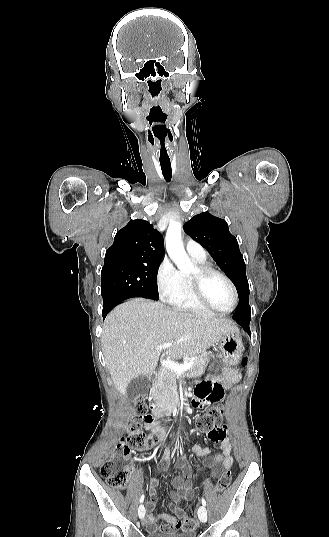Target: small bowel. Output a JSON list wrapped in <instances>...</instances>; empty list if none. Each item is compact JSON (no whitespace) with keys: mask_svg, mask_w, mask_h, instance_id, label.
Here are the masks:
<instances>
[{"mask_svg":"<svg viewBox=\"0 0 329 537\" xmlns=\"http://www.w3.org/2000/svg\"><path fill=\"white\" fill-rule=\"evenodd\" d=\"M238 371L232 370L230 372V383H235L239 380ZM225 384L220 381H216L214 377H205L203 381H196L194 388L192 389L191 402L193 405H189V408H193L195 411L201 412L207 408V406L213 405L216 406L219 404L220 400L227 398L228 393L225 390ZM147 430L153 432L157 430V425L155 423H149L146 425ZM208 440L212 441L215 444L220 443V453L214 456H209L211 450L207 447L202 448L200 446H195L192 448V453L197 457H207L205 460L206 467H212V477H216L220 470L216 468L217 465H221L223 470H229L233 464V455H232V446L229 438L226 435V427L221 428V430L212 429L207 434ZM170 458V451L166 450L164 454V459L168 460ZM181 469V474L174 477L172 484L176 491L170 493L172 503L169 504V509L174 515L167 513L154 514L153 510L155 508L156 488L158 486L157 481H152L150 485V496L151 499L146 502L148 514L145 518L144 524L149 533L151 532H177L182 530L183 526L181 524V517L183 516L184 510L182 507L186 506L188 501L191 500L195 495V488L192 482V469L186 464L182 463L179 465ZM163 521L164 524L159 525L158 522Z\"/></svg>","mask_w":329,"mask_h":537,"instance_id":"obj_1","label":"small bowel"}]
</instances>
